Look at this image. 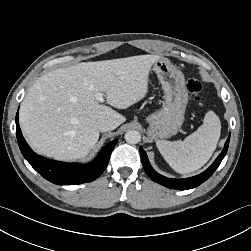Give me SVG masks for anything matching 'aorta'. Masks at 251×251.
I'll return each instance as SVG.
<instances>
[{
	"instance_id": "1",
	"label": "aorta",
	"mask_w": 251,
	"mask_h": 251,
	"mask_svg": "<svg viewBox=\"0 0 251 251\" xmlns=\"http://www.w3.org/2000/svg\"><path fill=\"white\" fill-rule=\"evenodd\" d=\"M124 137L129 144H137L141 141V134L136 130L127 131Z\"/></svg>"
}]
</instances>
